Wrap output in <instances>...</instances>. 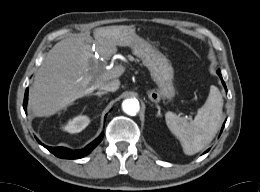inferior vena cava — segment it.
I'll return each instance as SVG.
<instances>
[{"label":"inferior vena cava","instance_id":"602c4592","mask_svg":"<svg viewBox=\"0 0 260 192\" xmlns=\"http://www.w3.org/2000/svg\"><path fill=\"white\" fill-rule=\"evenodd\" d=\"M120 86V81L118 79H113L100 87V90H105V91H110V92H115L116 90L119 89Z\"/></svg>","mask_w":260,"mask_h":192}]
</instances>
